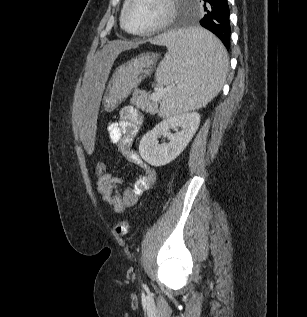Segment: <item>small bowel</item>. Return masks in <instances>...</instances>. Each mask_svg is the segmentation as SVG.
Returning a JSON list of instances; mask_svg holds the SVG:
<instances>
[{"instance_id":"c3829d8e","label":"small bowel","mask_w":307,"mask_h":317,"mask_svg":"<svg viewBox=\"0 0 307 317\" xmlns=\"http://www.w3.org/2000/svg\"><path fill=\"white\" fill-rule=\"evenodd\" d=\"M143 121L142 114L133 106H125L119 112V119L108 126L110 140L117 146L125 158L141 169L132 183L121 188L123 180L113 173L106 172L97 181V190L102 199L110 205L116 213H123L139 200V197L149 190L156 182V170L145 163L132 150V143Z\"/></svg>"}]
</instances>
